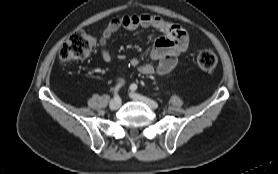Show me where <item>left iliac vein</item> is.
Listing matches in <instances>:
<instances>
[{
	"mask_svg": "<svg viewBox=\"0 0 278 174\" xmlns=\"http://www.w3.org/2000/svg\"><path fill=\"white\" fill-rule=\"evenodd\" d=\"M130 97L133 100L141 101V102L145 103L150 108L156 109L158 107V103L156 101H154L152 99H149L147 97H144L142 95H139V94H136V93H130Z\"/></svg>",
	"mask_w": 278,
	"mask_h": 174,
	"instance_id": "left-iliac-vein-1",
	"label": "left iliac vein"
}]
</instances>
